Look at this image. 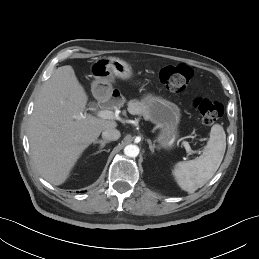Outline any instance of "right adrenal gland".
Masks as SVG:
<instances>
[{
  "instance_id": "right-adrenal-gland-1",
  "label": "right adrenal gland",
  "mask_w": 259,
  "mask_h": 259,
  "mask_svg": "<svg viewBox=\"0 0 259 259\" xmlns=\"http://www.w3.org/2000/svg\"><path fill=\"white\" fill-rule=\"evenodd\" d=\"M107 143H109L108 140H96V141H94L93 144H94V145H95V144H100V147H99V150L96 151L93 155H96V154L102 152V151H103V148L105 147V145H106Z\"/></svg>"
}]
</instances>
